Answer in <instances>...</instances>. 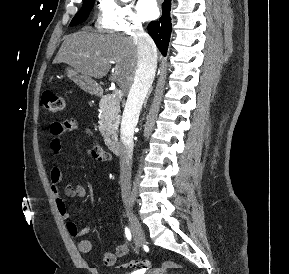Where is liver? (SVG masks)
Listing matches in <instances>:
<instances>
[{
  "label": "liver",
  "mask_w": 289,
  "mask_h": 274,
  "mask_svg": "<svg viewBox=\"0 0 289 274\" xmlns=\"http://www.w3.org/2000/svg\"><path fill=\"white\" fill-rule=\"evenodd\" d=\"M157 58L161 59L158 54ZM137 59L138 49L132 37L83 30L65 38L53 63H66L96 79L104 77L115 63L110 79L127 94L133 83Z\"/></svg>",
  "instance_id": "liver-1"
}]
</instances>
